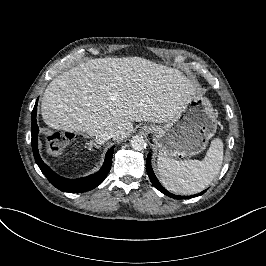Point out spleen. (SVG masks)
<instances>
[{
  "instance_id": "spleen-1",
  "label": "spleen",
  "mask_w": 266,
  "mask_h": 266,
  "mask_svg": "<svg viewBox=\"0 0 266 266\" xmlns=\"http://www.w3.org/2000/svg\"><path fill=\"white\" fill-rule=\"evenodd\" d=\"M223 144L219 138L210 143L202 161L187 159L176 160L159 153L158 172L162 184L177 194H194L205 189L221 168Z\"/></svg>"
}]
</instances>
